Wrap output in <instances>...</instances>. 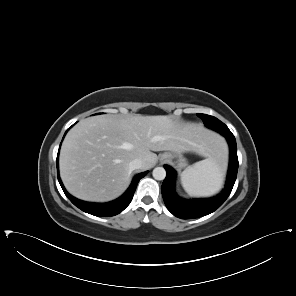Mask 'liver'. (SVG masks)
I'll return each mask as SVG.
<instances>
[{"label":"liver","mask_w":296,"mask_h":296,"mask_svg":"<svg viewBox=\"0 0 296 296\" xmlns=\"http://www.w3.org/2000/svg\"><path fill=\"white\" fill-rule=\"evenodd\" d=\"M222 140L202 125L170 116H93L78 122L66 135L59 158L60 176L73 196L107 202L127 188L129 163L141 159L142 170L154 167L152 151L215 154Z\"/></svg>","instance_id":"6515ba94"}]
</instances>
